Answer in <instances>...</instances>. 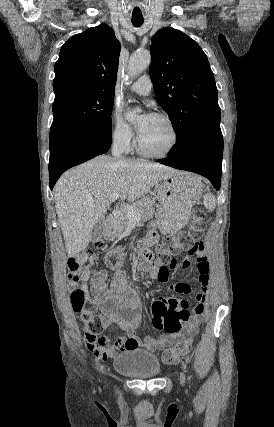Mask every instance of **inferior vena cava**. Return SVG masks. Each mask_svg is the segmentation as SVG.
Instances as JSON below:
<instances>
[{
  "instance_id": "obj_1",
  "label": "inferior vena cava",
  "mask_w": 274,
  "mask_h": 427,
  "mask_svg": "<svg viewBox=\"0 0 274 427\" xmlns=\"http://www.w3.org/2000/svg\"><path fill=\"white\" fill-rule=\"evenodd\" d=\"M124 148L125 146L123 138H115L111 150L112 156H114V158H118V160H124V158H122Z\"/></svg>"
}]
</instances>
